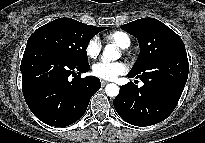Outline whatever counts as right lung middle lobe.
<instances>
[{
  "label": "right lung middle lobe",
  "instance_id": "obj_1",
  "mask_svg": "<svg viewBox=\"0 0 205 143\" xmlns=\"http://www.w3.org/2000/svg\"><path fill=\"white\" fill-rule=\"evenodd\" d=\"M106 28L59 18L38 28L29 37L27 45L38 44L57 52L71 63L88 65L86 48L90 40Z\"/></svg>",
  "mask_w": 205,
  "mask_h": 143
}]
</instances>
